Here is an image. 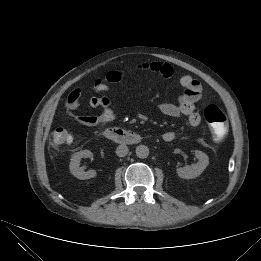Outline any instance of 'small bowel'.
Instances as JSON below:
<instances>
[{
  "mask_svg": "<svg viewBox=\"0 0 261 261\" xmlns=\"http://www.w3.org/2000/svg\"><path fill=\"white\" fill-rule=\"evenodd\" d=\"M141 69L150 70L158 73L164 78H171L174 74L173 67L168 63H146L140 66ZM180 86L183 88L177 103H160L159 110L166 116L179 117L181 115L188 116L191 126H198L201 122V116L197 110L198 102L202 97L201 84L190 75H184L179 80ZM94 90L96 93H105L110 91L107 83L98 82ZM81 90L74 89L70 92L66 100V106L69 110L75 111L81 108L80 101ZM86 106L88 108H102V112L98 115H75V120L83 126H100L106 125L115 120L116 113L110 98L106 96L91 97ZM176 133L174 131H166L162 135V139L166 142L175 140Z\"/></svg>",
  "mask_w": 261,
  "mask_h": 261,
  "instance_id": "obj_1",
  "label": "small bowel"
}]
</instances>
